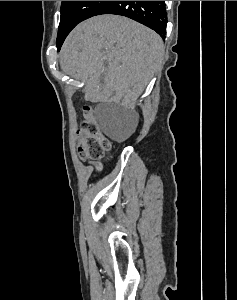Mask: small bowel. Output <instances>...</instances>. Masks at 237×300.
<instances>
[{"label":"small bowel","instance_id":"c3829d8e","mask_svg":"<svg viewBox=\"0 0 237 300\" xmlns=\"http://www.w3.org/2000/svg\"><path fill=\"white\" fill-rule=\"evenodd\" d=\"M93 166L95 168L96 171H100L101 170V164L100 163H93Z\"/></svg>","mask_w":237,"mask_h":300}]
</instances>
